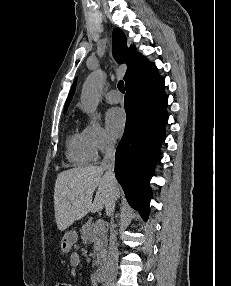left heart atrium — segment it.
<instances>
[{
    "instance_id": "1",
    "label": "left heart atrium",
    "mask_w": 231,
    "mask_h": 286,
    "mask_svg": "<svg viewBox=\"0 0 231 286\" xmlns=\"http://www.w3.org/2000/svg\"><path fill=\"white\" fill-rule=\"evenodd\" d=\"M105 121L110 134L118 137L126 126V115L121 108H111L106 113Z\"/></svg>"
}]
</instances>
